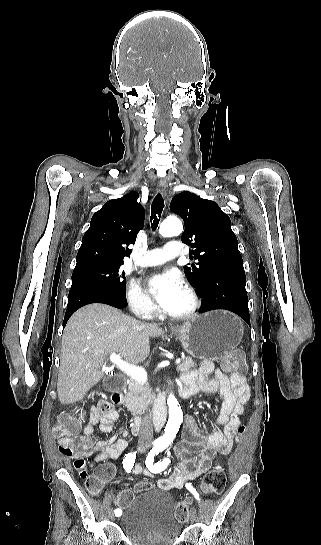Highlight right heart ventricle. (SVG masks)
I'll return each mask as SVG.
<instances>
[{
  "instance_id": "1",
  "label": "right heart ventricle",
  "mask_w": 321,
  "mask_h": 545,
  "mask_svg": "<svg viewBox=\"0 0 321 545\" xmlns=\"http://www.w3.org/2000/svg\"><path fill=\"white\" fill-rule=\"evenodd\" d=\"M158 315H159V316H163V312L160 311V312L158 313Z\"/></svg>"
}]
</instances>
